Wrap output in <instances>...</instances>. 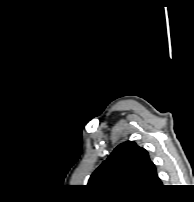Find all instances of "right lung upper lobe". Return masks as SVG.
Returning a JSON list of instances; mask_svg holds the SVG:
<instances>
[{"instance_id": "1", "label": "right lung upper lobe", "mask_w": 194, "mask_h": 202, "mask_svg": "<svg viewBox=\"0 0 194 202\" xmlns=\"http://www.w3.org/2000/svg\"><path fill=\"white\" fill-rule=\"evenodd\" d=\"M88 185L107 195L140 196L162 186L148 152L127 141L90 176Z\"/></svg>"}]
</instances>
